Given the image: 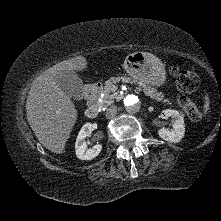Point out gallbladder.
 Instances as JSON below:
<instances>
[{
	"label": "gallbladder",
	"instance_id": "obj_1",
	"mask_svg": "<svg viewBox=\"0 0 221 221\" xmlns=\"http://www.w3.org/2000/svg\"><path fill=\"white\" fill-rule=\"evenodd\" d=\"M59 88L70 98L81 100L83 94V82L73 71H61L56 75Z\"/></svg>",
	"mask_w": 221,
	"mask_h": 221
}]
</instances>
